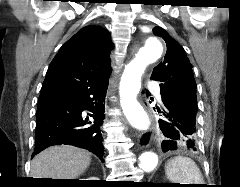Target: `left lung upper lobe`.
<instances>
[{
	"label": "left lung upper lobe",
	"instance_id": "1",
	"mask_svg": "<svg viewBox=\"0 0 240 187\" xmlns=\"http://www.w3.org/2000/svg\"><path fill=\"white\" fill-rule=\"evenodd\" d=\"M153 32L165 40L167 51L163 62L153 69L150 78L160 82L162 95L172 97L197 110L196 82L186 53L163 28L156 26Z\"/></svg>",
	"mask_w": 240,
	"mask_h": 187
}]
</instances>
